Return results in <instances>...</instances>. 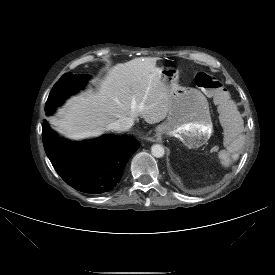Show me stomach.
Wrapping results in <instances>:
<instances>
[{
    "label": "stomach",
    "instance_id": "1",
    "mask_svg": "<svg viewBox=\"0 0 275 275\" xmlns=\"http://www.w3.org/2000/svg\"><path fill=\"white\" fill-rule=\"evenodd\" d=\"M161 80L170 88L167 119L158 126V134L179 138L188 148L205 144L213 132L209 104L197 89L179 85V70L160 67Z\"/></svg>",
    "mask_w": 275,
    "mask_h": 275
}]
</instances>
